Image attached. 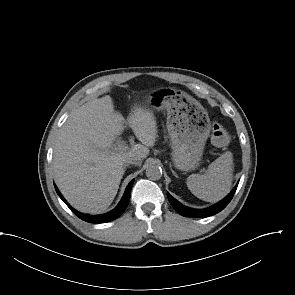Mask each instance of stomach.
Masks as SVG:
<instances>
[{"label": "stomach", "instance_id": "1", "mask_svg": "<svg viewBox=\"0 0 295 295\" xmlns=\"http://www.w3.org/2000/svg\"><path fill=\"white\" fill-rule=\"evenodd\" d=\"M146 103L153 109L167 111L174 166L182 171L195 170L211 129L205 108L186 92L170 87L152 91ZM147 105L143 109L152 113V108Z\"/></svg>", "mask_w": 295, "mask_h": 295}]
</instances>
